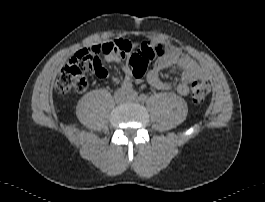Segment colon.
I'll return each mask as SVG.
<instances>
[{
  "instance_id": "colon-1",
  "label": "colon",
  "mask_w": 265,
  "mask_h": 202,
  "mask_svg": "<svg viewBox=\"0 0 265 202\" xmlns=\"http://www.w3.org/2000/svg\"><path fill=\"white\" fill-rule=\"evenodd\" d=\"M118 52L128 56L131 75L140 80L147 70L148 63L164 54L162 45H141L132 50L130 43L124 41L94 45L66 62L56 81L55 90L59 93L83 92L87 88V76L94 71L102 76L105 70L98 61L99 54ZM210 91L209 84L201 79L191 82V96L194 102L203 103Z\"/></svg>"
}]
</instances>
